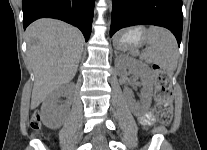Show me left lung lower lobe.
<instances>
[{"label":"left lung lower lobe","mask_w":207,"mask_h":150,"mask_svg":"<svg viewBox=\"0 0 207 150\" xmlns=\"http://www.w3.org/2000/svg\"><path fill=\"white\" fill-rule=\"evenodd\" d=\"M142 24L169 29L180 46L182 0H113L110 36L121 28Z\"/></svg>","instance_id":"0a47b994"}]
</instances>
